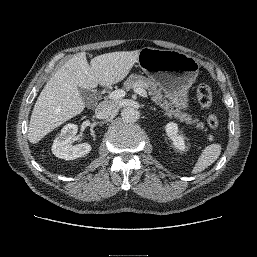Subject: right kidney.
I'll return each mask as SVG.
<instances>
[{"label": "right kidney", "mask_w": 257, "mask_h": 257, "mask_svg": "<svg viewBox=\"0 0 257 257\" xmlns=\"http://www.w3.org/2000/svg\"><path fill=\"white\" fill-rule=\"evenodd\" d=\"M77 130L78 126L73 123H69L62 128L52 145V153L56 157L65 160H74L91 151V145L88 143L72 145Z\"/></svg>", "instance_id": "right-kidney-1"}]
</instances>
